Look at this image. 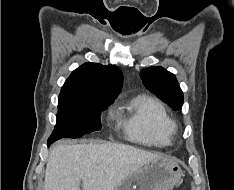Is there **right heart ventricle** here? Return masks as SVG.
<instances>
[{
	"instance_id": "e07e8e85",
	"label": "right heart ventricle",
	"mask_w": 234,
	"mask_h": 190,
	"mask_svg": "<svg viewBox=\"0 0 234 190\" xmlns=\"http://www.w3.org/2000/svg\"><path fill=\"white\" fill-rule=\"evenodd\" d=\"M118 125L128 140L155 146L171 144L176 124L157 99L140 95L117 109Z\"/></svg>"
}]
</instances>
